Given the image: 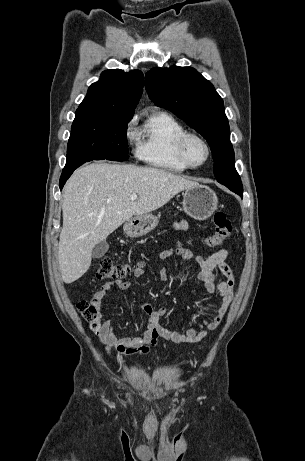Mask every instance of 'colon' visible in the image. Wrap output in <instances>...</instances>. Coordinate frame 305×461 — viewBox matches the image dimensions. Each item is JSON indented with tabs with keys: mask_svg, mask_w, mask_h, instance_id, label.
I'll use <instances>...</instances> for the list:
<instances>
[{
	"mask_svg": "<svg viewBox=\"0 0 305 461\" xmlns=\"http://www.w3.org/2000/svg\"><path fill=\"white\" fill-rule=\"evenodd\" d=\"M215 229L205 238V243L211 248L223 245L232 231V222L229 216L221 211L214 214ZM131 271L130 266L115 263L110 257H102L97 265L96 276L101 280L115 281L126 277ZM78 311L93 330L98 329L99 308L92 302L82 301L77 305Z\"/></svg>",
	"mask_w": 305,
	"mask_h": 461,
	"instance_id": "1",
	"label": "colon"
}]
</instances>
